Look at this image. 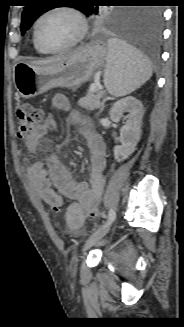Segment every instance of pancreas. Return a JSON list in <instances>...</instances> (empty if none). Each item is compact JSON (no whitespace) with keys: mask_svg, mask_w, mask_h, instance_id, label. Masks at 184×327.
<instances>
[{"mask_svg":"<svg viewBox=\"0 0 184 327\" xmlns=\"http://www.w3.org/2000/svg\"><path fill=\"white\" fill-rule=\"evenodd\" d=\"M103 96L104 92L101 90H89L85 97L79 99L78 105L88 111H93L94 109L100 108L102 106L101 99Z\"/></svg>","mask_w":184,"mask_h":327,"instance_id":"1","label":"pancreas"}]
</instances>
